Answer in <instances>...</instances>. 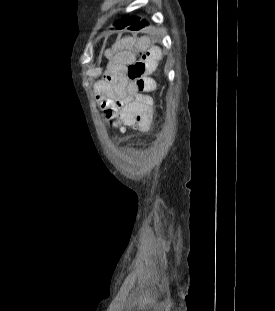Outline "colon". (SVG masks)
I'll use <instances>...</instances> for the list:
<instances>
[{
	"label": "colon",
	"instance_id": "1",
	"mask_svg": "<svg viewBox=\"0 0 275 311\" xmlns=\"http://www.w3.org/2000/svg\"><path fill=\"white\" fill-rule=\"evenodd\" d=\"M155 57H140L128 66V76L136 83L141 93H148L154 89V81L148 75L155 67ZM124 118H115L112 124L113 130L125 129Z\"/></svg>",
	"mask_w": 275,
	"mask_h": 311
}]
</instances>
